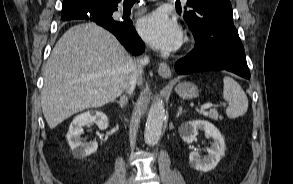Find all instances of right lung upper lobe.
I'll list each match as a JSON object with an SVG mask.
<instances>
[{"label":"right lung upper lobe","instance_id":"cb5924a9","mask_svg":"<svg viewBox=\"0 0 293 184\" xmlns=\"http://www.w3.org/2000/svg\"><path fill=\"white\" fill-rule=\"evenodd\" d=\"M82 1L86 0H63L62 19L70 18L79 12H85L95 7L113 6L121 0H90L92 5L85 7Z\"/></svg>","mask_w":293,"mask_h":184}]
</instances>
